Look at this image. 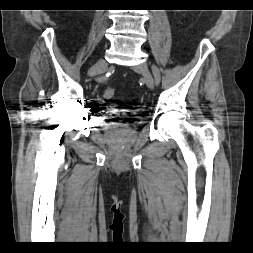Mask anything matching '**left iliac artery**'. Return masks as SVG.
<instances>
[{
  "label": "left iliac artery",
  "instance_id": "left-iliac-artery-1",
  "mask_svg": "<svg viewBox=\"0 0 253 253\" xmlns=\"http://www.w3.org/2000/svg\"><path fill=\"white\" fill-rule=\"evenodd\" d=\"M152 72L154 74L155 84L158 85L160 83L161 76H160L159 69L155 65H152Z\"/></svg>",
  "mask_w": 253,
  "mask_h": 253
}]
</instances>
